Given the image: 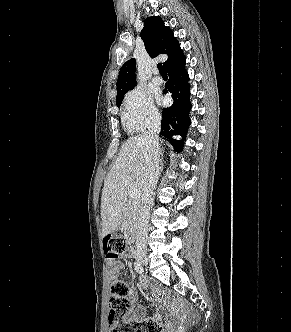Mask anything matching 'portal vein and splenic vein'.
Segmentation results:
<instances>
[{"instance_id": "obj_1", "label": "portal vein and splenic vein", "mask_w": 291, "mask_h": 332, "mask_svg": "<svg viewBox=\"0 0 291 332\" xmlns=\"http://www.w3.org/2000/svg\"><path fill=\"white\" fill-rule=\"evenodd\" d=\"M129 196H130L131 200L135 201V200L140 199L141 192L139 190L135 189V190L130 191Z\"/></svg>"}]
</instances>
